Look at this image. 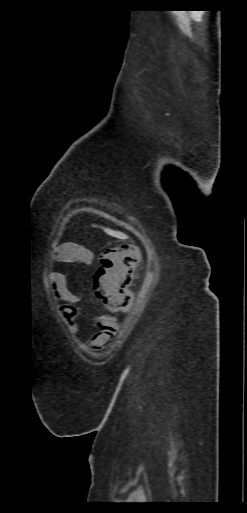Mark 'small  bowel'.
Listing matches in <instances>:
<instances>
[{
	"instance_id": "1",
	"label": "small bowel",
	"mask_w": 247,
	"mask_h": 513,
	"mask_svg": "<svg viewBox=\"0 0 247 513\" xmlns=\"http://www.w3.org/2000/svg\"><path fill=\"white\" fill-rule=\"evenodd\" d=\"M79 249L78 245L74 243L63 244L55 251L56 260L64 263L75 262L78 260L77 255H81ZM81 258L84 262L89 261V258H85L84 252ZM47 276L50 286L54 288L60 299L65 302L60 311L67 323L68 329L71 332H76L77 325L75 324V319L80 314L78 304L81 301V297L70 290L65 274L53 271ZM98 324V333L88 343L89 348L96 352L104 350L110 345L118 329V320L114 316H103L99 319Z\"/></svg>"
}]
</instances>
